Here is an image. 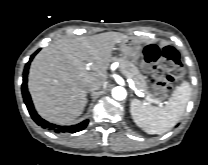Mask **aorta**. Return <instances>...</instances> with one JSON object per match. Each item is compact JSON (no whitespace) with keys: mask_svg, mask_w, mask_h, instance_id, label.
<instances>
[{"mask_svg":"<svg viewBox=\"0 0 208 165\" xmlns=\"http://www.w3.org/2000/svg\"><path fill=\"white\" fill-rule=\"evenodd\" d=\"M126 95V90L121 86L115 87L112 90V97L116 100H123L126 98Z\"/></svg>","mask_w":208,"mask_h":165,"instance_id":"obj_1","label":"aorta"}]
</instances>
